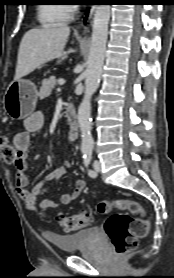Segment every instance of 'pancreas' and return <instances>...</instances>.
<instances>
[{"instance_id": "obj_1", "label": "pancreas", "mask_w": 174, "mask_h": 278, "mask_svg": "<svg viewBox=\"0 0 174 278\" xmlns=\"http://www.w3.org/2000/svg\"><path fill=\"white\" fill-rule=\"evenodd\" d=\"M56 82L57 81L55 78H49L42 81L39 92L40 99H44L51 94L52 90L56 85Z\"/></svg>"}]
</instances>
